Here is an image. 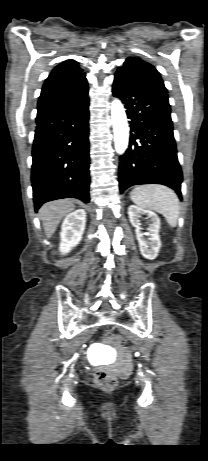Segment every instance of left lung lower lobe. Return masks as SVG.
<instances>
[{"label":"left lung lower lobe","instance_id":"obj_1","mask_svg":"<svg viewBox=\"0 0 208 461\" xmlns=\"http://www.w3.org/2000/svg\"><path fill=\"white\" fill-rule=\"evenodd\" d=\"M112 92L125 105L131 128L129 148L120 156V192L156 183L174 189L181 199L183 177L167 92L121 73L115 74Z\"/></svg>","mask_w":208,"mask_h":461}]
</instances>
